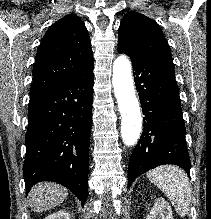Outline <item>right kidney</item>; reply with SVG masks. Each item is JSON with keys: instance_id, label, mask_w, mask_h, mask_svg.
<instances>
[{"instance_id": "right-kidney-1", "label": "right kidney", "mask_w": 211, "mask_h": 219, "mask_svg": "<svg viewBox=\"0 0 211 219\" xmlns=\"http://www.w3.org/2000/svg\"><path fill=\"white\" fill-rule=\"evenodd\" d=\"M45 219H70V214L64 210H60L47 216Z\"/></svg>"}]
</instances>
